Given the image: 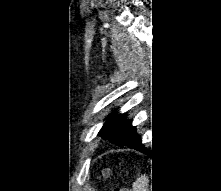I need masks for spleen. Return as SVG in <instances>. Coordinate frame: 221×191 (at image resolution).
<instances>
[{
    "mask_svg": "<svg viewBox=\"0 0 221 191\" xmlns=\"http://www.w3.org/2000/svg\"><path fill=\"white\" fill-rule=\"evenodd\" d=\"M133 191H149V178L147 175H141L133 183Z\"/></svg>",
    "mask_w": 221,
    "mask_h": 191,
    "instance_id": "spleen-1",
    "label": "spleen"
}]
</instances>
